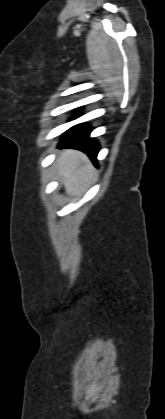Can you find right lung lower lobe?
<instances>
[{
    "label": "right lung lower lobe",
    "mask_w": 165,
    "mask_h": 419,
    "mask_svg": "<svg viewBox=\"0 0 165 419\" xmlns=\"http://www.w3.org/2000/svg\"><path fill=\"white\" fill-rule=\"evenodd\" d=\"M91 130L86 124H79L69 129L61 140L60 147H71L79 149L88 154L96 162L99 152V144L95 139L89 137Z\"/></svg>",
    "instance_id": "right-lung-lower-lobe-1"
}]
</instances>
